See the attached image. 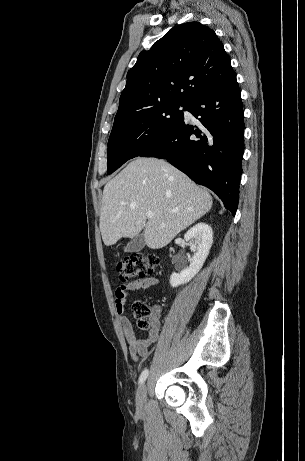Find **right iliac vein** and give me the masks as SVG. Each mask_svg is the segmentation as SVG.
<instances>
[{"label":"right iliac vein","mask_w":305,"mask_h":461,"mask_svg":"<svg viewBox=\"0 0 305 461\" xmlns=\"http://www.w3.org/2000/svg\"><path fill=\"white\" fill-rule=\"evenodd\" d=\"M146 393H147V388L146 384H142L136 395V406L139 411H142L146 405Z\"/></svg>","instance_id":"obj_1"}]
</instances>
